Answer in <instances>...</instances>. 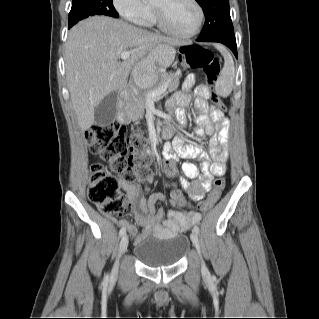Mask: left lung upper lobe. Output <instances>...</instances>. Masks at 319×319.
Listing matches in <instances>:
<instances>
[{"mask_svg":"<svg viewBox=\"0 0 319 319\" xmlns=\"http://www.w3.org/2000/svg\"><path fill=\"white\" fill-rule=\"evenodd\" d=\"M205 14V24L197 41L235 40L228 0H196Z\"/></svg>","mask_w":319,"mask_h":319,"instance_id":"5c2ea615","label":"left lung upper lobe"}]
</instances>
